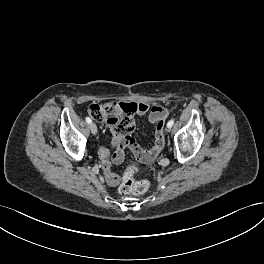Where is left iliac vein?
I'll return each mask as SVG.
<instances>
[{
	"label": "left iliac vein",
	"mask_w": 264,
	"mask_h": 264,
	"mask_svg": "<svg viewBox=\"0 0 264 264\" xmlns=\"http://www.w3.org/2000/svg\"><path fill=\"white\" fill-rule=\"evenodd\" d=\"M171 130V127H167V132H169Z\"/></svg>",
	"instance_id": "4c4485c4"
}]
</instances>
